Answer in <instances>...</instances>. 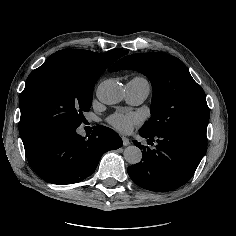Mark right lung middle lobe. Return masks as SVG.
I'll list each match as a JSON object with an SVG mask.
<instances>
[{"instance_id":"obj_1","label":"right lung middle lobe","mask_w":236,"mask_h":236,"mask_svg":"<svg viewBox=\"0 0 236 236\" xmlns=\"http://www.w3.org/2000/svg\"><path fill=\"white\" fill-rule=\"evenodd\" d=\"M100 76L64 57L47 59L32 71L20 97L24 148L52 131L79 127Z\"/></svg>"}]
</instances>
